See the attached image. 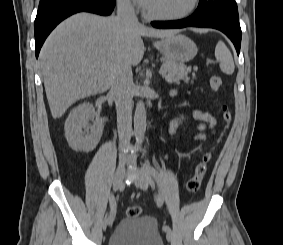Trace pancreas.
<instances>
[{"label":"pancreas","mask_w":283,"mask_h":245,"mask_svg":"<svg viewBox=\"0 0 283 245\" xmlns=\"http://www.w3.org/2000/svg\"><path fill=\"white\" fill-rule=\"evenodd\" d=\"M163 61V77L168 83H176L179 85L180 80H184L186 83H188L189 70L184 64L178 63L169 58H163ZM194 77L195 76H193V78Z\"/></svg>","instance_id":"cf45deb5"}]
</instances>
